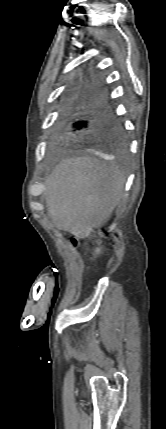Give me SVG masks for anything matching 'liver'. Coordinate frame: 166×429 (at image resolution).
Returning a JSON list of instances; mask_svg holds the SVG:
<instances>
[{
  "instance_id": "1",
  "label": "liver",
  "mask_w": 166,
  "mask_h": 429,
  "mask_svg": "<svg viewBox=\"0 0 166 429\" xmlns=\"http://www.w3.org/2000/svg\"><path fill=\"white\" fill-rule=\"evenodd\" d=\"M124 185V172L113 164L90 157L64 159L44 178L48 215L59 230L87 237L108 221Z\"/></svg>"
}]
</instances>
